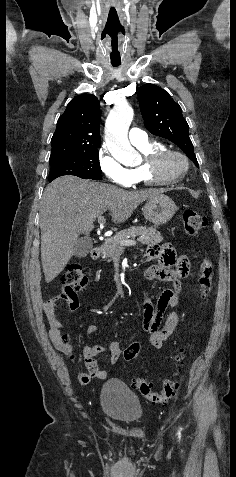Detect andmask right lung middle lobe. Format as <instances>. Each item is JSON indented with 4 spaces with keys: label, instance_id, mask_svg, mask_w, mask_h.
<instances>
[{
    "label": "right lung middle lobe",
    "instance_id": "obj_1",
    "mask_svg": "<svg viewBox=\"0 0 236 477\" xmlns=\"http://www.w3.org/2000/svg\"><path fill=\"white\" fill-rule=\"evenodd\" d=\"M98 148V147H97ZM97 148L87 149L70 156L51 160L49 182L63 175H73L83 179L101 180L99 152Z\"/></svg>",
    "mask_w": 236,
    "mask_h": 477
}]
</instances>
